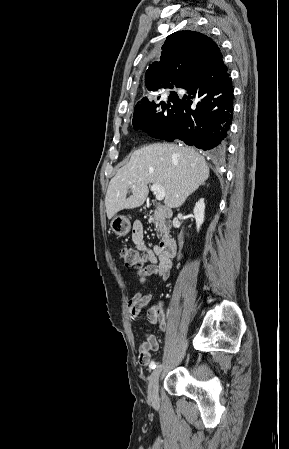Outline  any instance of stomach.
<instances>
[{
	"instance_id": "1",
	"label": "stomach",
	"mask_w": 289,
	"mask_h": 449,
	"mask_svg": "<svg viewBox=\"0 0 289 449\" xmlns=\"http://www.w3.org/2000/svg\"><path fill=\"white\" fill-rule=\"evenodd\" d=\"M111 229L118 236H126L130 229L131 224L126 216L118 215L115 216L111 221Z\"/></svg>"
}]
</instances>
